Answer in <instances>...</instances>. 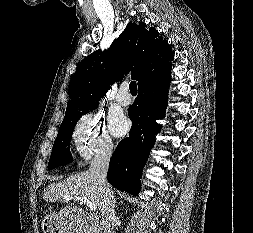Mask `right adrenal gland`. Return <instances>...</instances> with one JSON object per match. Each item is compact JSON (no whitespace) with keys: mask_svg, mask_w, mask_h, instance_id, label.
<instances>
[{"mask_svg":"<svg viewBox=\"0 0 253 233\" xmlns=\"http://www.w3.org/2000/svg\"><path fill=\"white\" fill-rule=\"evenodd\" d=\"M114 205L116 206V201L114 200Z\"/></svg>","mask_w":253,"mask_h":233,"instance_id":"2a0ac1e0","label":"right adrenal gland"}]
</instances>
